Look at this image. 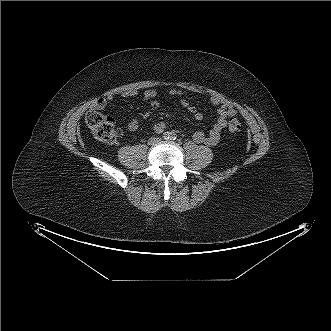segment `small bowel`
Instances as JSON below:
<instances>
[{
	"label": "small bowel",
	"mask_w": 331,
	"mask_h": 331,
	"mask_svg": "<svg viewBox=\"0 0 331 331\" xmlns=\"http://www.w3.org/2000/svg\"><path fill=\"white\" fill-rule=\"evenodd\" d=\"M169 96H176L181 99L182 105L188 110L194 120L201 121L203 119V114L193 105H190L188 100L186 99V92L181 89H171L167 92ZM123 98H132L140 96L144 102H148L150 107L156 109L159 107V102L157 100V91L154 89H147L143 92H140L138 89H130L123 91L121 94ZM113 95H108L107 100H113ZM209 101L214 106L218 107V115L216 121L210 131L205 134L202 131H196L192 138L193 141L198 144H205L207 146H214L218 144L220 140L221 132L226 128L228 118L236 115L237 109L234 104L226 99L216 95H212L209 97ZM106 106V99L99 98L96 99L92 104V109L102 110ZM167 127V123L163 121H158L154 124L153 128L155 132L161 133ZM127 128L129 131L134 132L139 128L138 119H132L128 122Z\"/></svg>",
	"instance_id": "small-bowel-1"
}]
</instances>
